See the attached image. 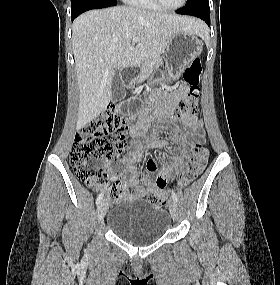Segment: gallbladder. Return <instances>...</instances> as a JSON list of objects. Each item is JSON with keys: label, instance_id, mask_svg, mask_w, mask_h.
<instances>
[{"label": "gallbladder", "instance_id": "1", "mask_svg": "<svg viewBox=\"0 0 280 285\" xmlns=\"http://www.w3.org/2000/svg\"><path fill=\"white\" fill-rule=\"evenodd\" d=\"M112 101L117 102L123 100L125 96L124 84L120 78V74L116 73L111 86Z\"/></svg>", "mask_w": 280, "mask_h": 285}]
</instances>
